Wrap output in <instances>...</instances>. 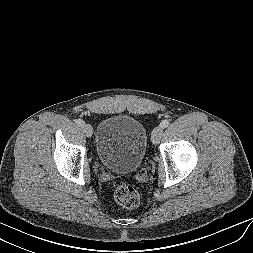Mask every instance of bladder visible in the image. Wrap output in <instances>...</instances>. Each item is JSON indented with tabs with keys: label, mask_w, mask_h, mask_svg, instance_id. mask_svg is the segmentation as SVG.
<instances>
[{
	"label": "bladder",
	"mask_w": 253,
	"mask_h": 253,
	"mask_svg": "<svg viewBox=\"0 0 253 253\" xmlns=\"http://www.w3.org/2000/svg\"><path fill=\"white\" fill-rule=\"evenodd\" d=\"M148 143L144 125L129 115H113L98 125L95 153L108 170L131 173L142 164Z\"/></svg>",
	"instance_id": "1"
}]
</instances>
